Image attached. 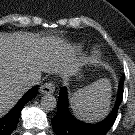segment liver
Instances as JSON below:
<instances>
[{
    "mask_svg": "<svg viewBox=\"0 0 135 135\" xmlns=\"http://www.w3.org/2000/svg\"><path fill=\"white\" fill-rule=\"evenodd\" d=\"M75 51L61 39L0 32V117L27 91L26 79L41 73L66 74L76 67Z\"/></svg>",
    "mask_w": 135,
    "mask_h": 135,
    "instance_id": "obj_1",
    "label": "liver"
}]
</instances>
